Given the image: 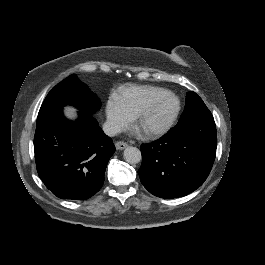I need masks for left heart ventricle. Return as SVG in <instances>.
<instances>
[{
    "mask_svg": "<svg viewBox=\"0 0 265 265\" xmlns=\"http://www.w3.org/2000/svg\"><path fill=\"white\" fill-rule=\"evenodd\" d=\"M177 107V101L169 94H159L156 96L148 113L138 121L140 129H148L163 119L170 116Z\"/></svg>",
    "mask_w": 265,
    "mask_h": 265,
    "instance_id": "left-heart-ventricle-1",
    "label": "left heart ventricle"
}]
</instances>
